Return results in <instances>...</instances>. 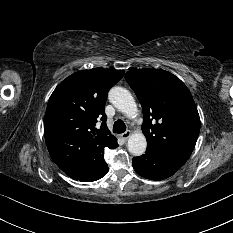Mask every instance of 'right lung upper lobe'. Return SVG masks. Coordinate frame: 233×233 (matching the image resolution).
Here are the masks:
<instances>
[{
    "label": "right lung upper lobe",
    "instance_id": "right-lung-upper-lobe-1",
    "mask_svg": "<svg viewBox=\"0 0 233 233\" xmlns=\"http://www.w3.org/2000/svg\"><path fill=\"white\" fill-rule=\"evenodd\" d=\"M123 75V70H81L62 81L50 96L44 135L50 156L62 171H97L106 163L104 150L118 147L106 125L105 103L109 89Z\"/></svg>",
    "mask_w": 233,
    "mask_h": 233
}]
</instances>
